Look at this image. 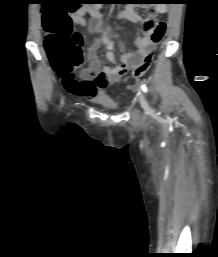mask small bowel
I'll return each instance as SVG.
<instances>
[{"instance_id":"obj_1","label":"small bowel","mask_w":218,"mask_h":257,"mask_svg":"<svg viewBox=\"0 0 218 257\" xmlns=\"http://www.w3.org/2000/svg\"><path fill=\"white\" fill-rule=\"evenodd\" d=\"M165 11L166 7L164 5H159L155 9L157 13H164ZM87 15L90 16L88 21L86 20ZM117 17L125 18L139 26V34L134 42V49L124 51L119 58L115 54L111 29L104 24L98 6L84 5L71 14L73 24L87 26L89 33L97 34L103 31V34L99 38H95L90 45L89 66L82 69L78 74H74L69 80L62 78L65 88L71 94L93 99L99 89L102 90L111 82L119 81L128 70L134 69L147 54L153 51L156 44L152 39L153 32L145 28L146 21L134 7L127 6L117 13ZM161 25L164 32L165 24L161 23ZM100 44L104 45L107 59H105V55H99L97 52ZM102 60H105V64ZM110 62L113 67L106 65Z\"/></svg>"}]
</instances>
